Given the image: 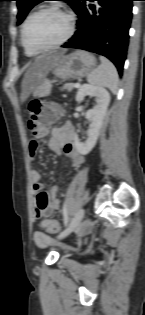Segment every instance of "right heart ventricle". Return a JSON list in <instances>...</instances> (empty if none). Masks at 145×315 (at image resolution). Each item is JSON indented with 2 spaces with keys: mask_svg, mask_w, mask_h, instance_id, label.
<instances>
[{
  "mask_svg": "<svg viewBox=\"0 0 145 315\" xmlns=\"http://www.w3.org/2000/svg\"><path fill=\"white\" fill-rule=\"evenodd\" d=\"M21 42H22V39H21ZM22 45H23V47H24V50H25L26 55H28V56H35V55H37V54L39 53V52H37V51H33V50L27 48V47L23 44V42H22Z\"/></svg>",
  "mask_w": 145,
  "mask_h": 315,
  "instance_id": "right-heart-ventricle-1",
  "label": "right heart ventricle"
}]
</instances>
